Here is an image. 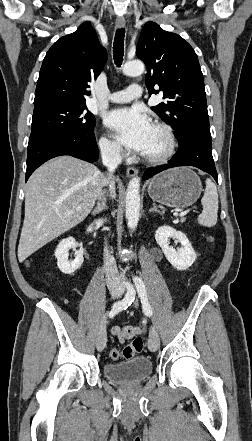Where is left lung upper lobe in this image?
<instances>
[{"mask_svg": "<svg viewBox=\"0 0 252 441\" xmlns=\"http://www.w3.org/2000/svg\"><path fill=\"white\" fill-rule=\"evenodd\" d=\"M136 54L147 66L150 95L162 92L166 99L151 109L172 126L178 141L193 130L210 131L203 74L189 43L149 21L142 28Z\"/></svg>", "mask_w": 252, "mask_h": 441, "instance_id": "1", "label": "left lung upper lobe"}]
</instances>
